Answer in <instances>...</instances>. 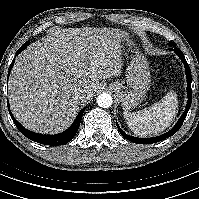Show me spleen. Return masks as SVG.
I'll return each instance as SVG.
<instances>
[{
	"mask_svg": "<svg viewBox=\"0 0 199 199\" xmlns=\"http://www.w3.org/2000/svg\"><path fill=\"white\" fill-rule=\"evenodd\" d=\"M178 112L176 93L168 92L159 102L138 112H124L126 122L134 134L156 136L171 125Z\"/></svg>",
	"mask_w": 199,
	"mask_h": 199,
	"instance_id": "obj_1",
	"label": "spleen"
}]
</instances>
